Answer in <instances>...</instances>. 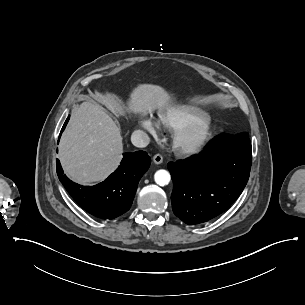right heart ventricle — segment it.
Here are the masks:
<instances>
[{
	"mask_svg": "<svg viewBox=\"0 0 305 305\" xmlns=\"http://www.w3.org/2000/svg\"><path fill=\"white\" fill-rule=\"evenodd\" d=\"M209 116L210 114L200 107L178 105L160 113L158 124L165 130L177 132L182 126Z\"/></svg>",
	"mask_w": 305,
	"mask_h": 305,
	"instance_id": "obj_1",
	"label": "right heart ventricle"
}]
</instances>
